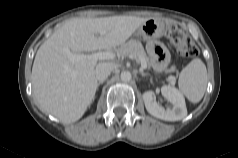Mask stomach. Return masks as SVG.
<instances>
[{"instance_id": "stomach-1", "label": "stomach", "mask_w": 238, "mask_h": 158, "mask_svg": "<svg viewBox=\"0 0 238 158\" xmlns=\"http://www.w3.org/2000/svg\"><path fill=\"white\" fill-rule=\"evenodd\" d=\"M165 34V26L162 22L150 18L145 21L135 32V35L144 40H152L162 37Z\"/></svg>"}]
</instances>
